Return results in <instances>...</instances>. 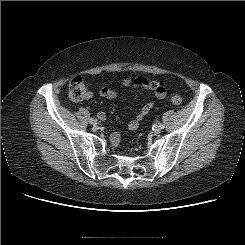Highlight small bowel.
<instances>
[{
  "instance_id": "1",
  "label": "small bowel",
  "mask_w": 245,
  "mask_h": 245,
  "mask_svg": "<svg viewBox=\"0 0 245 245\" xmlns=\"http://www.w3.org/2000/svg\"><path fill=\"white\" fill-rule=\"evenodd\" d=\"M136 86V85H135ZM156 93V92H155ZM100 96L109 100H114L117 98V93L112 91L111 89L104 87L100 90L99 92ZM157 98L163 99L166 96V93L160 94L156 93ZM86 98H91V93L86 94ZM154 103L149 102L145 104L142 109L139 111V113L136 115V117L129 122V129L131 130H136L139 126V122L150 112V110L153 108ZM99 119L104 120L106 118L105 113L101 112L98 114ZM111 143L113 145H117L119 142V135L118 134H113L110 138Z\"/></svg>"
}]
</instances>
